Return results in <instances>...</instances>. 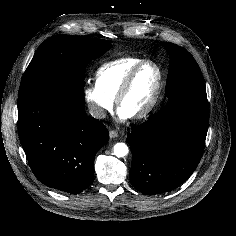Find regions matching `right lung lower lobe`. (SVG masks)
Segmentation results:
<instances>
[{
    "mask_svg": "<svg viewBox=\"0 0 236 236\" xmlns=\"http://www.w3.org/2000/svg\"><path fill=\"white\" fill-rule=\"evenodd\" d=\"M18 130L36 178L71 194L92 183L95 155L109 139L105 126L86 115L83 94L68 87L20 93Z\"/></svg>",
    "mask_w": 236,
    "mask_h": 236,
    "instance_id": "1",
    "label": "right lung lower lobe"
}]
</instances>
